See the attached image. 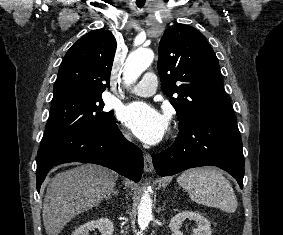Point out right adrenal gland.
<instances>
[{"mask_svg": "<svg viewBox=\"0 0 283 235\" xmlns=\"http://www.w3.org/2000/svg\"><path fill=\"white\" fill-rule=\"evenodd\" d=\"M112 194L118 195V194H119V190H116V189L112 190V192H111V194L108 196V198H110V196H111Z\"/></svg>", "mask_w": 283, "mask_h": 235, "instance_id": "1", "label": "right adrenal gland"}]
</instances>
